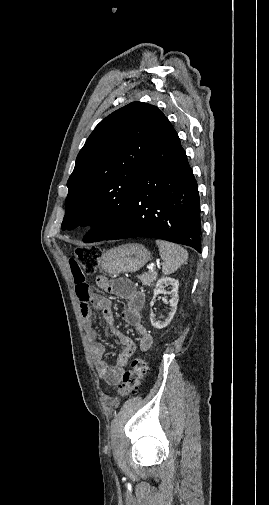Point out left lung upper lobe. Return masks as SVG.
<instances>
[{"label": "left lung upper lobe", "mask_w": 269, "mask_h": 505, "mask_svg": "<svg viewBox=\"0 0 269 505\" xmlns=\"http://www.w3.org/2000/svg\"><path fill=\"white\" fill-rule=\"evenodd\" d=\"M164 119L156 106L132 102L96 126L67 182L63 230L91 225L84 242H94L120 225Z\"/></svg>", "instance_id": "obj_1"}]
</instances>
